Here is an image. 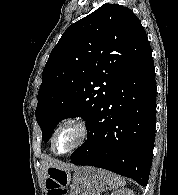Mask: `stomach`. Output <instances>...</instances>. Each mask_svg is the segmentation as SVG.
Masks as SVG:
<instances>
[{
  "mask_svg": "<svg viewBox=\"0 0 178 195\" xmlns=\"http://www.w3.org/2000/svg\"><path fill=\"white\" fill-rule=\"evenodd\" d=\"M47 172V179H51L57 184V187L49 190L60 189L57 193L61 195H100L105 190L106 181L103 175L99 169L91 166L74 168L73 175L70 170L54 167L48 168ZM68 186L69 189H67Z\"/></svg>",
  "mask_w": 178,
  "mask_h": 195,
  "instance_id": "stomach-1",
  "label": "stomach"
}]
</instances>
